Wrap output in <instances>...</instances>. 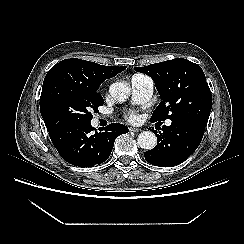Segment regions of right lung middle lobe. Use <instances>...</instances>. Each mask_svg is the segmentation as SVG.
<instances>
[{"label":"right lung middle lobe","instance_id":"right-lung-middle-lobe-1","mask_svg":"<svg viewBox=\"0 0 244 244\" xmlns=\"http://www.w3.org/2000/svg\"><path fill=\"white\" fill-rule=\"evenodd\" d=\"M100 95H91L53 76L44 80L40 97V112L48 131L71 124L90 123L91 111L103 105Z\"/></svg>","mask_w":244,"mask_h":244}]
</instances>
